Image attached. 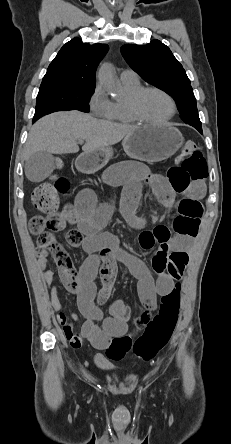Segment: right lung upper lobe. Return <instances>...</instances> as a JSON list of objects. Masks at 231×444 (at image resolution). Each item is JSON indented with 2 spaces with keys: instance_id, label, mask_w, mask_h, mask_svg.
Segmentation results:
<instances>
[{
  "instance_id": "right-lung-upper-lobe-1",
  "label": "right lung upper lobe",
  "mask_w": 231,
  "mask_h": 444,
  "mask_svg": "<svg viewBox=\"0 0 231 444\" xmlns=\"http://www.w3.org/2000/svg\"><path fill=\"white\" fill-rule=\"evenodd\" d=\"M107 51L106 44L90 45L80 38L70 40L49 65L40 88H95L96 68Z\"/></svg>"
}]
</instances>
